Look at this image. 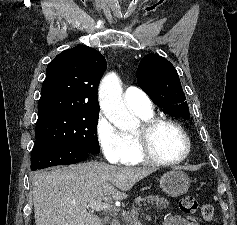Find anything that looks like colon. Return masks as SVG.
Wrapping results in <instances>:
<instances>
[{
    "mask_svg": "<svg viewBox=\"0 0 237 225\" xmlns=\"http://www.w3.org/2000/svg\"><path fill=\"white\" fill-rule=\"evenodd\" d=\"M180 210L186 215L195 214L199 210V203L194 196H185L180 200ZM201 213L206 221H212L214 210L209 204H205L201 207Z\"/></svg>",
    "mask_w": 237,
    "mask_h": 225,
    "instance_id": "1",
    "label": "colon"
}]
</instances>
